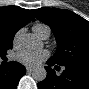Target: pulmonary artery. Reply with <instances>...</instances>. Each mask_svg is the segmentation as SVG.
<instances>
[{"label":"pulmonary artery","mask_w":89,"mask_h":89,"mask_svg":"<svg viewBox=\"0 0 89 89\" xmlns=\"http://www.w3.org/2000/svg\"><path fill=\"white\" fill-rule=\"evenodd\" d=\"M49 36H50V29H49V28H45V29L39 34V37H40L42 40L47 39Z\"/></svg>","instance_id":"pulmonary-artery-1"}]
</instances>
